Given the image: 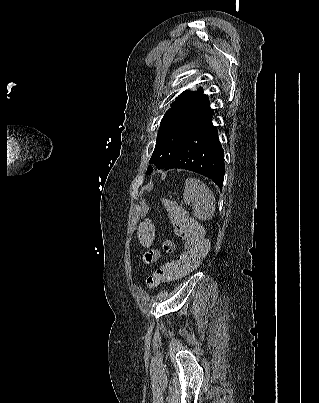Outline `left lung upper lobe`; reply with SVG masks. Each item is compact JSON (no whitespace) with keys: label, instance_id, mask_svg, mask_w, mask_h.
I'll return each mask as SVG.
<instances>
[{"label":"left lung upper lobe","instance_id":"obj_1","mask_svg":"<svg viewBox=\"0 0 319 403\" xmlns=\"http://www.w3.org/2000/svg\"><path fill=\"white\" fill-rule=\"evenodd\" d=\"M209 108L208 96L200 90L183 92L161 121L150 163L158 169L165 168L185 141L190 129ZM152 171L153 168L149 166L146 174Z\"/></svg>","mask_w":319,"mask_h":403}]
</instances>
